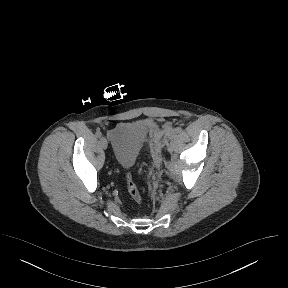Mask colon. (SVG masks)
Segmentation results:
<instances>
[{
  "instance_id": "colon-1",
  "label": "colon",
  "mask_w": 288,
  "mask_h": 288,
  "mask_svg": "<svg viewBox=\"0 0 288 288\" xmlns=\"http://www.w3.org/2000/svg\"><path fill=\"white\" fill-rule=\"evenodd\" d=\"M126 180V186H127V190L129 195L131 196V198L136 201L137 203H140L142 201V196L141 193L138 189V187L136 186L132 175L131 174H127L125 177Z\"/></svg>"
}]
</instances>
